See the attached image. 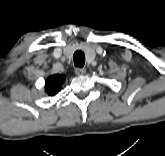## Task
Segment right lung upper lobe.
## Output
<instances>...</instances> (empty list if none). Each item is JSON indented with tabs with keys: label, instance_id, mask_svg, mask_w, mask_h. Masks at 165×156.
<instances>
[{
	"label": "right lung upper lobe",
	"instance_id": "1",
	"mask_svg": "<svg viewBox=\"0 0 165 156\" xmlns=\"http://www.w3.org/2000/svg\"><path fill=\"white\" fill-rule=\"evenodd\" d=\"M65 80L63 75H52L46 80L45 89L46 92L53 96L57 94Z\"/></svg>",
	"mask_w": 165,
	"mask_h": 156
}]
</instances>
